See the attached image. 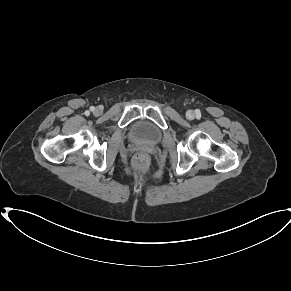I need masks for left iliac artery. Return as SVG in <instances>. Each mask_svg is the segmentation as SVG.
Instances as JSON below:
<instances>
[{
    "instance_id": "44dca946",
    "label": "left iliac artery",
    "mask_w": 291,
    "mask_h": 291,
    "mask_svg": "<svg viewBox=\"0 0 291 291\" xmlns=\"http://www.w3.org/2000/svg\"><path fill=\"white\" fill-rule=\"evenodd\" d=\"M195 113H196V116H197V117H200V116H201L200 110L197 109V110L195 111Z\"/></svg>"
}]
</instances>
